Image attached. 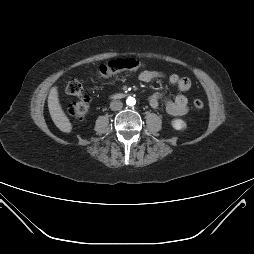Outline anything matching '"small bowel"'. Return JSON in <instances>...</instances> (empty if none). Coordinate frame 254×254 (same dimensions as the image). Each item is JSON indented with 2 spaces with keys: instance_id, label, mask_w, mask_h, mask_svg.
Returning <instances> with one entry per match:
<instances>
[{
  "instance_id": "1",
  "label": "small bowel",
  "mask_w": 254,
  "mask_h": 254,
  "mask_svg": "<svg viewBox=\"0 0 254 254\" xmlns=\"http://www.w3.org/2000/svg\"><path fill=\"white\" fill-rule=\"evenodd\" d=\"M168 78V81L176 86L181 92H186L191 88V80L188 77H182L177 74L167 76L159 70H145L140 73L139 80L144 83H149L154 79ZM163 94L160 92L154 93L149 97V104L152 108H158ZM166 111L174 116H181L188 112V100L185 95L179 94L174 99L166 101Z\"/></svg>"
}]
</instances>
